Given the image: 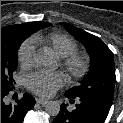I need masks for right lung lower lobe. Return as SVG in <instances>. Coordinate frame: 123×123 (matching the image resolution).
Listing matches in <instances>:
<instances>
[{
	"mask_svg": "<svg viewBox=\"0 0 123 123\" xmlns=\"http://www.w3.org/2000/svg\"><path fill=\"white\" fill-rule=\"evenodd\" d=\"M11 90L1 89V123H23L25 114L35 105V99L25 93L15 105H8L5 103V97Z\"/></svg>",
	"mask_w": 123,
	"mask_h": 123,
	"instance_id": "1",
	"label": "right lung lower lobe"
}]
</instances>
